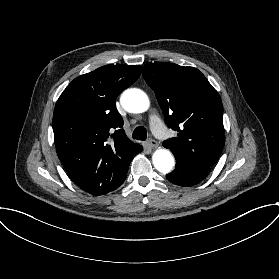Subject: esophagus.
I'll use <instances>...</instances> for the list:
<instances>
[{"label":"esophagus","instance_id":"esophagus-1","mask_svg":"<svg viewBox=\"0 0 279 279\" xmlns=\"http://www.w3.org/2000/svg\"><path fill=\"white\" fill-rule=\"evenodd\" d=\"M147 143L151 148L158 147V142L155 139L150 138V139H148Z\"/></svg>","mask_w":279,"mask_h":279}]
</instances>
